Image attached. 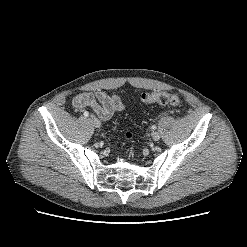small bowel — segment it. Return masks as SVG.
Segmentation results:
<instances>
[{
	"label": "small bowel",
	"mask_w": 247,
	"mask_h": 247,
	"mask_svg": "<svg viewBox=\"0 0 247 247\" xmlns=\"http://www.w3.org/2000/svg\"><path fill=\"white\" fill-rule=\"evenodd\" d=\"M72 104L78 110L90 107L103 121H108L115 112L124 108V104L118 96L108 95L104 91L80 93L74 97Z\"/></svg>",
	"instance_id": "small-bowel-1"
}]
</instances>
